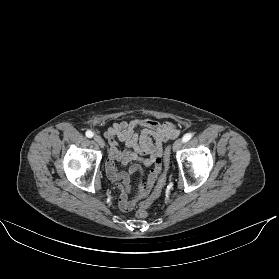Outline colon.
Wrapping results in <instances>:
<instances>
[{"mask_svg":"<svg viewBox=\"0 0 279 279\" xmlns=\"http://www.w3.org/2000/svg\"><path fill=\"white\" fill-rule=\"evenodd\" d=\"M169 160H170V149L167 148L165 150L164 153V157H163V162H164V171L162 172L161 176L159 177L157 184L152 192V194L150 195V197L148 199H146L145 201H143L138 210L136 211V216L138 218H145L148 215V208L151 206V204L159 197V195L162 192V189L165 185V181H166V172H167V168H168V164H169Z\"/></svg>","mask_w":279,"mask_h":279,"instance_id":"obj_1","label":"colon"}]
</instances>
